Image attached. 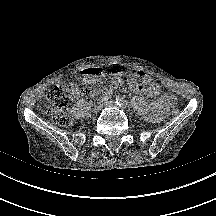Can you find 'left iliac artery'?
<instances>
[{"instance_id": "44dca946", "label": "left iliac artery", "mask_w": 216, "mask_h": 216, "mask_svg": "<svg viewBox=\"0 0 216 216\" xmlns=\"http://www.w3.org/2000/svg\"><path fill=\"white\" fill-rule=\"evenodd\" d=\"M116 103L119 106H127L128 105L127 100L125 98H123V97H117L116 98Z\"/></svg>"}]
</instances>
